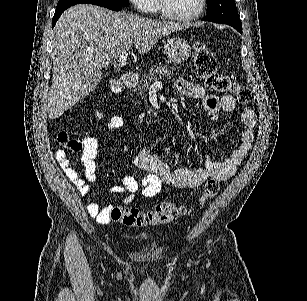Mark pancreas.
Returning a JSON list of instances; mask_svg holds the SVG:
<instances>
[{
  "label": "pancreas",
  "instance_id": "obj_1",
  "mask_svg": "<svg viewBox=\"0 0 307 301\" xmlns=\"http://www.w3.org/2000/svg\"><path fill=\"white\" fill-rule=\"evenodd\" d=\"M173 74H178L177 70L173 66H168V64H159L155 68H151L148 72L143 74V78L139 80L136 88L140 94H144L145 90L149 88L153 80H161L162 76H173Z\"/></svg>",
  "mask_w": 307,
  "mask_h": 301
}]
</instances>
